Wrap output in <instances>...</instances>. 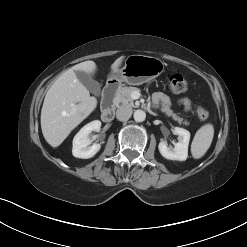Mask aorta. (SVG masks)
Segmentation results:
<instances>
[{
    "instance_id": "aorta-1",
    "label": "aorta",
    "mask_w": 247,
    "mask_h": 247,
    "mask_svg": "<svg viewBox=\"0 0 247 247\" xmlns=\"http://www.w3.org/2000/svg\"><path fill=\"white\" fill-rule=\"evenodd\" d=\"M146 118V113L143 110H136L134 112V120L136 122H143Z\"/></svg>"
}]
</instances>
